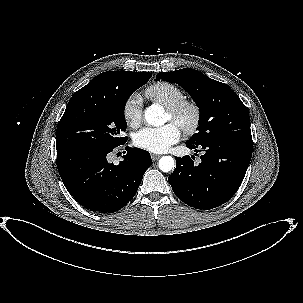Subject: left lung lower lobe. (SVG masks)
<instances>
[{
    "label": "left lung lower lobe",
    "mask_w": 303,
    "mask_h": 303,
    "mask_svg": "<svg viewBox=\"0 0 303 303\" xmlns=\"http://www.w3.org/2000/svg\"><path fill=\"white\" fill-rule=\"evenodd\" d=\"M190 149H203L196 165L190 156L176 158V168L168 181L185 204L208 210L227 202L240 187L253 151L251 138H221Z\"/></svg>",
    "instance_id": "0a47b994"
}]
</instances>
